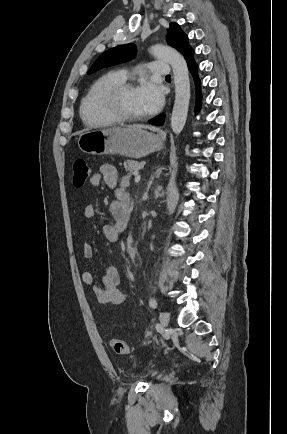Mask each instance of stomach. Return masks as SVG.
I'll use <instances>...</instances> for the list:
<instances>
[{"mask_svg":"<svg viewBox=\"0 0 287 434\" xmlns=\"http://www.w3.org/2000/svg\"><path fill=\"white\" fill-rule=\"evenodd\" d=\"M79 149L92 155H120L141 158L163 149L159 135L143 129L108 128L83 132L77 139Z\"/></svg>","mask_w":287,"mask_h":434,"instance_id":"obj_1","label":"stomach"}]
</instances>
